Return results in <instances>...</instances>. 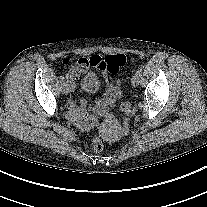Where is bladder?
Instances as JSON below:
<instances>
[{
    "instance_id": "bladder-1",
    "label": "bladder",
    "mask_w": 207,
    "mask_h": 207,
    "mask_svg": "<svg viewBox=\"0 0 207 207\" xmlns=\"http://www.w3.org/2000/svg\"><path fill=\"white\" fill-rule=\"evenodd\" d=\"M99 84L98 76L94 72H89L81 80V88L87 92H94Z\"/></svg>"
}]
</instances>
